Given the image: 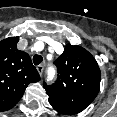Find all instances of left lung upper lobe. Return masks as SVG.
Here are the masks:
<instances>
[{
	"label": "left lung upper lobe",
	"instance_id": "left-lung-upper-lobe-1",
	"mask_svg": "<svg viewBox=\"0 0 117 117\" xmlns=\"http://www.w3.org/2000/svg\"><path fill=\"white\" fill-rule=\"evenodd\" d=\"M54 64L57 80L52 85L43 83L50 104L82 112L96 98L100 88L101 73L95 58L84 48L67 44Z\"/></svg>",
	"mask_w": 117,
	"mask_h": 117
}]
</instances>
